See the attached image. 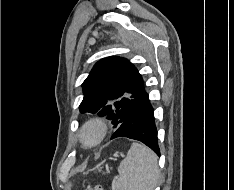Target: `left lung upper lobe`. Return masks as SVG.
Listing matches in <instances>:
<instances>
[{
    "label": "left lung upper lobe",
    "mask_w": 234,
    "mask_h": 190,
    "mask_svg": "<svg viewBox=\"0 0 234 190\" xmlns=\"http://www.w3.org/2000/svg\"><path fill=\"white\" fill-rule=\"evenodd\" d=\"M80 112L98 113L118 128L144 95V84L136 67L127 59L108 57L98 61L82 84Z\"/></svg>",
    "instance_id": "1"
}]
</instances>
